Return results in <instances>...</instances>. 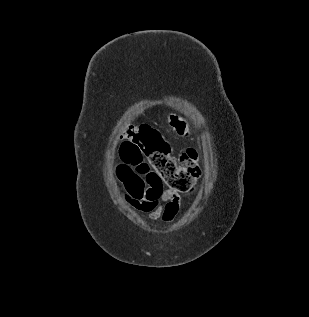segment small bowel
<instances>
[{"label": "small bowel", "instance_id": "c3829d8e", "mask_svg": "<svg viewBox=\"0 0 309 317\" xmlns=\"http://www.w3.org/2000/svg\"><path fill=\"white\" fill-rule=\"evenodd\" d=\"M115 175L125 189V200L153 222H172L182 208V197L172 190H163L157 174L145 161L131 163L120 151Z\"/></svg>", "mask_w": 309, "mask_h": 317}]
</instances>
